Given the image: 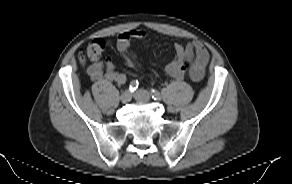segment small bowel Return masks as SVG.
<instances>
[{
	"label": "small bowel",
	"instance_id": "c3829d8e",
	"mask_svg": "<svg viewBox=\"0 0 292 184\" xmlns=\"http://www.w3.org/2000/svg\"><path fill=\"white\" fill-rule=\"evenodd\" d=\"M145 36L146 33L141 29L127 30L118 35L116 48L128 66L138 69L142 67V61L131 50L130 46L132 40H142ZM175 50L181 59L191 62V79L193 81H200L204 76L205 68L209 61V53L205 46L199 41H193L186 45L177 44ZM165 70L173 78L180 79L183 77L175 63L168 64ZM88 74L96 82H117L122 84L126 81L125 73L115 71L110 59L95 60L88 68Z\"/></svg>",
	"mask_w": 292,
	"mask_h": 184
}]
</instances>
